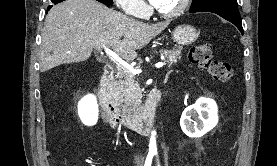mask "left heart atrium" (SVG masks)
<instances>
[{
  "label": "left heart atrium",
  "mask_w": 277,
  "mask_h": 166,
  "mask_svg": "<svg viewBox=\"0 0 277 166\" xmlns=\"http://www.w3.org/2000/svg\"><path fill=\"white\" fill-rule=\"evenodd\" d=\"M149 1L152 5H154L156 7L161 3V0H149Z\"/></svg>",
  "instance_id": "left-heart-atrium-1"
}]
</instances>
